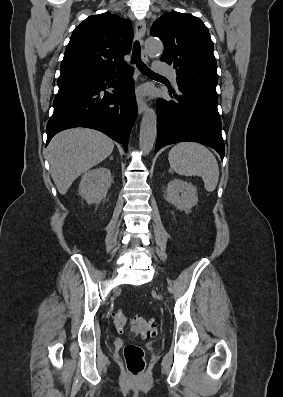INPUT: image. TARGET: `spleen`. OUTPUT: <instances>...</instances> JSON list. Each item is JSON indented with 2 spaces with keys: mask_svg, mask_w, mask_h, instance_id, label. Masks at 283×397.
<instances>
[{
  "mask_svg": "<svg viewBox=\"0 0 283 397\" xmlns=\"http://www.w3.org/2000/svg\"><path fill=\"white\" fill-rule=\"evenodd\" d=\"M170 167L183 176H200L205 189L213 192L219 179V166L213 153L195 142L176 144L169 152Z\"/></svg>",
  "mask_w": 283,
  "mask_h": 397,
  "instance_id": "1",
  "label": "spleen"
}]
</instances>
